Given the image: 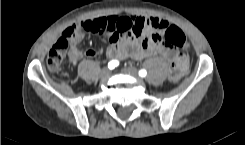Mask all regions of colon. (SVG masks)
Wrapping results in <instances>:
<instances>
[{
    "label": "colon",
    "mask_w": 245,
    "mask_h": 145,
    "mask_svg": "<svg viewBox=\"0 0 245 145\" xmlns=\"http://www.w3.org/2000/svg\"><path fill=\"white\" fill-rule=\"evenodd\" d=\"M90 28L91 24L87 22L82 27H69L64 31L62 37L52 46L47 57V66L51 71H58L62 68L66 58L68 38L80 30H89ZM146 38L152 40L156 45H166L175 49H188L190 47L185 34L175 25L167 27L162 35L147 31ZM175 72L176 66L171 64V75H174Z\"/></svg>",
    "instance_id": "5ec220e1"
}]
</instances>
